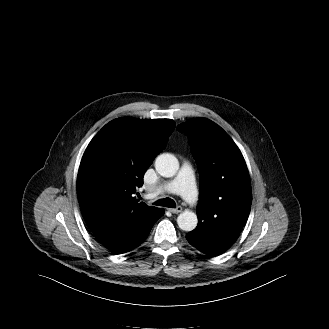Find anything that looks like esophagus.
<instances>
[{
	"label": "esophagus",
	"instance_id": "1",
	"mask_svg": "<svg viewBox=\"0 0 329 329\" xmlns=\"http://www.w3.org/2000/svg\"><path fill=\"white\" fill-rule=\"evenodd\" d=\"M171 213L173 214H178L182 211V207L181 206H177L176 208H169L168 209Z\"/></svg>",
	"mask_w": 329,
	"mask_h": 329
}]
</instances>
